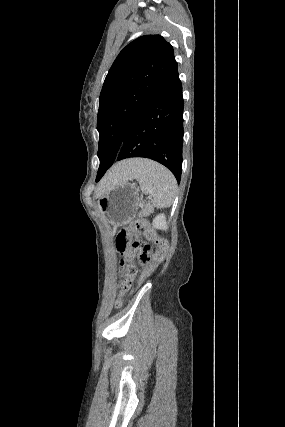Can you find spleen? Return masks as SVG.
<instances>
[{"label": "spleen", "instance_id": "1", "mask_svg": "<svg viewBox=\"0 0 285 427\" xmlns=\"http://www.w3.org/2000/svg\"><path fill=\"white\" fill-rule=\"evenodd\" d=\"M144 194H151L157 208L170 206L176 196L177 182L164 166L151 160H143L134 177Z\"/></svg>", "mask_w": 285, "mask_h": 427}]
</instances>
